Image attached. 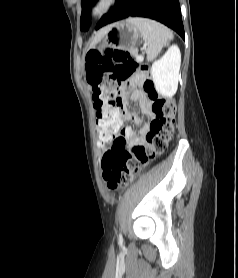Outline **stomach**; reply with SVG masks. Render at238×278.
Listing matches in <instances>:
<instances>
[{
    "label": "stomach",
    "mask_w": 238,
    "mask_h": 278,
    "mask_svg": "<svg viewBox=\"0 0 238 278\" xmlns=\"http://www.w3.org/2000/svg\"><path fill=\"white\" fill-rule=\"evenodd\" d=\"M140 37L139 29L128 20L116 22L106 27V33L97 49L102 55H105L107 48L132 50Z\"/></svg>",
    "instance_id": "obj_1"
}]
</instances>
